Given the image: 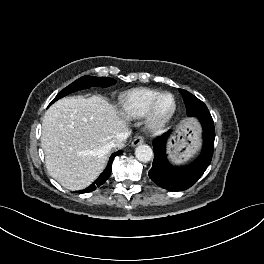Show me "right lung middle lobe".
I'll list each match as a JSON object with an SVG mask.
<instances>
[{
    "instance_id": "right-lung-middle-lobe-1",
    "label": "right lung middle lobe",
    "mask_w": 264,
    "mask_h": 264,
    "mask_svg": "<svg viewBox=\"0 0 264 264\" xmlns=\"http://www.w3.org/2000/svg\"><path fill=\"white\" fill-rule=\"evenodd\" d=\"M115 83V80L107 77H94V76H83L78 80L71 83L69 86L64 88L58 95L53 99L51 104L56 100L66 96L77 90L89 88L91 86L108 87Z\"/></svg>"
}]
</instances>
